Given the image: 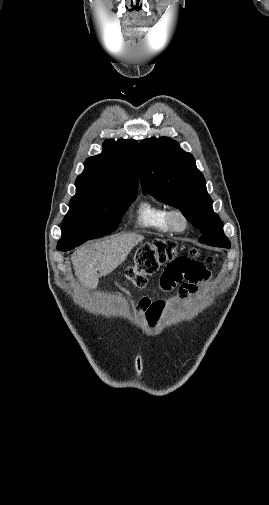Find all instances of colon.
I'll use <instances>...</instances> for the list:
<instances>
[{
  "label": "colon",
  "instance_id": "5ec220e1",
  "mask_svg": "<svg viewBox=\"0 0 269 505\" xmlns=\"http://www.w3.org/2000/svg\"><path fill=\"white\" fill-rule=\"evenodd\" d=\"M170 259H197V252L191 250L188 255H177L175 247L169 242L158 241L141 246L136 255L134 266L130 267L127 278L137 287H144L146 277L154 274L161 265ZM211 262V258L207 259Z\"/></svg>",
  "mask_w": 269,
  "mask_h": 505
}]
</instances>
